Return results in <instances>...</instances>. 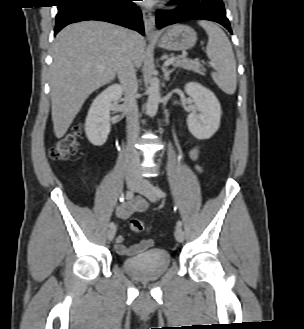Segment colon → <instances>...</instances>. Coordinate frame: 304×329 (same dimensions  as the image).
I'll return each mask as SVG.
<instances>
[{
	"instance_id": "5ec220e1",
	"label": "colon",
	"mask_w": 304,
	"mask_h": 329,
	"mask_svg": "<svg viewBox=\"0 0 304 329\" xmlns=\"http://www.w3.org/2000/svg\"><path fill=\"white\" fill-rule=\"evenodd\" d=\"M82 127L74 126L50 150V157L55 161H66L73 156L79 146ZM130 229L136 233L148 232L147 226L139 219L130 220Z\"/></svg>"
}]
</instances>
